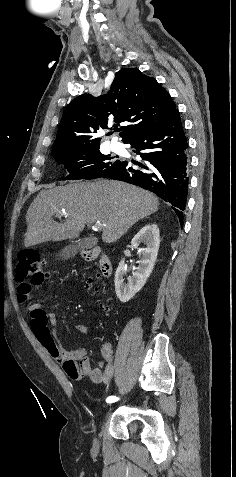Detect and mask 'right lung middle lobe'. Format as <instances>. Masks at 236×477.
Segmentation results:
<instances>
[{
	"mask_svg": "<svg viewBox=\"0 0 236 477\" xmlns=\"http://www.w3.org/2000/svg\"><path fill=\"white\" fill-rule=\"evenodd\" d=\"M64 165L69 175L64 180L94 179L106 177L121 161L111 160L99 151V146H90L74 152L53 154Z\"/></svg>",
	"mask_w": 236,
	"mask_h": 477,
	"instance_id": "1",
	"label": "right lung middle lobe"
}]
</instances>
